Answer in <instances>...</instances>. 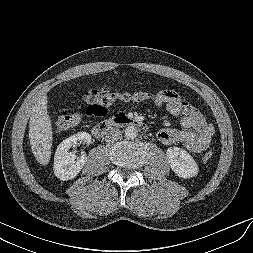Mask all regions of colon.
I'll use <instances>...</instances> for the list:
<instances>
[{
    "label": "colon",
    "instance_id": "colon-1",
    "mask_svg": "<svg viewBox=\"0 0 253 253\" xmlns=\"http://www.w3.org/2000/svg\"><path fill=\"white\" fill-rule=\"evenodd\" d=\"M150 94L148 92H135V93H122L119 95H114L104 90H96L93 94V102L95 104L91 105L88 109V114L93 115H103L107 112V105L113 101H140L148 98ZM80 120V115L76 113L62 114L56 120V130L57 131H66L73 128ZM213 157V152H206L202 160L207 162Z\"/></svg>",
    "mask_w": 253,
    "mask_h": 253
}]
</instances>
